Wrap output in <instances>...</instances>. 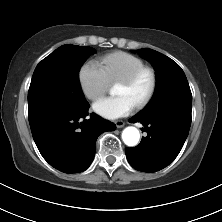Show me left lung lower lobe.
<instances>
[{"label":"left lung lower lobe","mask_w":222,"mask_h":222,"mask_svg":"<svg viewBox=\"0 0 222 222\" xmlns=\"http://www.w3.org/2000/svg\"><path fill=\"white\" fill-rule=\"evenodd\" d=\"M130 122H141L147 136L134 148H126L130 165L143 172H156L168 166L181 151L191 125V107L166 103L141 111Z\"/></svg>","instance_id":"0a47b994"}]
</instances>
